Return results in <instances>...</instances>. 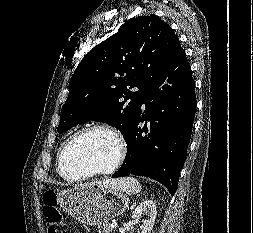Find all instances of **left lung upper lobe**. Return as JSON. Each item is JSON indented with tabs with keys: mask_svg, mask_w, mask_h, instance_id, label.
<instances>
[{
	"mask_svg": "<svg viewBox=\"0 0 253 233\" xmlns=\"http://www.w3.org/2000/svg\"><path fill=\"white\" fill-rule=\"evenodd\" d=\"M178 44L171 27L156 15L125 22L77 66L57 131L93 120L115 126L125 138L148 89L162 78ZM134 87L139 90H129Z\"/></svg>",
	"mask_w": 253,
	"mask_h": 233,
	"instance_id": "left-lung-upper-lobe-1",
	"label": "left lung upper lobe"
}]
</instances>
